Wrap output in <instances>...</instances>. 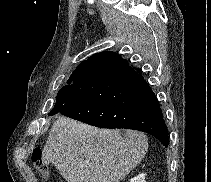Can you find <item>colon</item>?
Instances as JSON below:
<instances>
[{"mask_svg":"<svg viewBox=\"0 0 211 182\" xmlns=\"http://www.w3.org/2000/svg\"><path fill=\"white\" fill-rule=\"evenodd\" d=\"M31 156L35 168L38 170L41 176L48 181L51 178V173L45 163L43 151L40 148H35L33 149Z\"/></svg>","mask_w":211,"mask_h":182,"instance_id":"5ec220e1","label":"colon"}]
</instances>
